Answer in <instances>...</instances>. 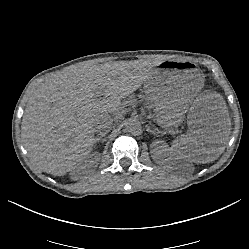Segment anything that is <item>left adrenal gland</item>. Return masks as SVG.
I'll return each instance as SVG.
<instances>
[{"instance_id":"left-adrenal-gland-1","label":"left adrenal gland","mask_w":249,"mask_h":249,"mask_svg":"<svg viewBox=\"0 0 249 249\" xmlns=\"http://www.w3.org/2000/svg\"><path fill=\"white\" fill-rule=\"evenodd\" d=\"M147 132L152 134L153 130L151 128H147Z\"/></svg>"}]
</instances>
